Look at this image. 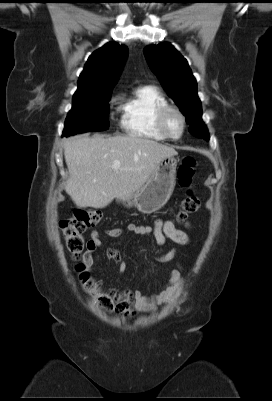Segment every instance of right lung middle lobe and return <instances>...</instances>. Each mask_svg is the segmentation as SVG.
<instances>
[{
	"mask_svg": "<svg viewBox=\"0 0 272 401\" xmlns=\"http://www.w3.org/2000/svg\"><path fill=\"white\" fill-rule=\"evenodd\" d=\"M112 90L98 91L73 98L62 136L109 128V100Z\"/></svg>",
	"mask_w": 272,
	"mask_h": 401,
	"instance_id": "obj_1",
	"label": "right lung middle lobe"
}]
</instances>
